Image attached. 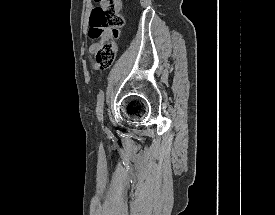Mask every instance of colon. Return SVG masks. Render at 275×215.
Listing matches in <instances>:
<instances>
[{
	"label": "colon",
	"instance_id": "5ec220e1",
	"mask_svg": "<svg viewBox=\"0 0 275 215\" xmlns=\"http://www.w3.org/2000/svg\"><path fill=\"white\" fill-rule=\"evenodd\" d=\"M98 5L90 16L89 36L95 40V62L98 67L112 65L116 54V40L124 18L119 14L120 0H96Z\"/></svg>",
	"mask_w": 275,
	"mask_h": 215
}]
</instances>
